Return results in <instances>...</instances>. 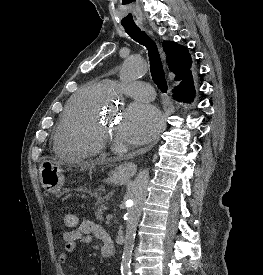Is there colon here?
Segmentation results:
<instances>
[{
	"instance_id": "5ec220e1",
	"label": "colon",
	"mask_w": 263,
	"mask_h": 275,
	"mask_svg": "<svg viewBox=\"0 0 263 275\" xmlns=\"http://www.w3.org/2000/svg\"><path fill=\"white\" fill-rule=\"evenodd\" d=\"M63 224L68 229L73 228L77 225V217L74 214H65L63 216Z\"/></svg>"
}]
</instances>
